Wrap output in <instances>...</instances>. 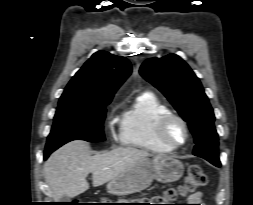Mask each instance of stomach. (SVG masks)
Listing matches in <instances>:
<instances>
[{
  "label": "stomach",
  "mask_w": 253,
  "mask_h": 205,
  "mask_svg": "<svg viewBox=\"0 0 253 205\" xmlns=\"http://www.w3.org/2000/svg\"><path fill=\"white\" fill-rule=\"evenodd\" d=\"M184 172L181 161L167 156L142 158L107 184V191L112 195H128L140 192L153 181L171 183L179 180Z\"/></svg>",
  "instance_id": "1"
}]
</instances>
